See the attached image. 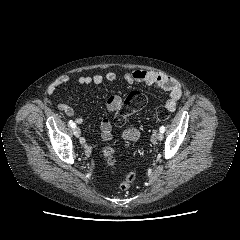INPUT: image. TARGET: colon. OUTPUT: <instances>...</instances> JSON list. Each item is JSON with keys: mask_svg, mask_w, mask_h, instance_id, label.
Listing matches in <instances>:
<instances>
[{"mask_svg": "<svg viewBox=\"0 0 240 240\" xmlns=\"http://www.w3.org/2000/svg\"><path fill=\"white\" fill-rule=\"evenodd\" d=\"M147 103L146 95L138 90L132 91L123 102L122 106L116 111L114 122L117 126H122L126 118L129 114L141 110L145 107ZM155 115L159 120H166L169 118L170 111L166 108V106H159L155 110ZM103 155L107 160V163L110 166H114L116 163V152L113 146H106L103 150ZM136 174L134 171H128L123 174V179L120 183L121 190H128L134 180Z\"/></svg>", "mask_w": 240, "mask_h": 240, "instance_id": "obj_1", "label": "colon"}]
</instances>
